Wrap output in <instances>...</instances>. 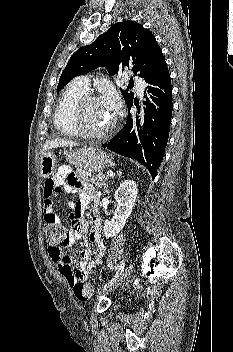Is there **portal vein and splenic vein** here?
<instances>
[{"label":"portal vein and splenic vein","mask_w":233,"mask_h":352,"mask_svg":"<svg viewBox=\"0 0 233 352\" xmlns=\"http://www.w3.org/2000/svg\"><path fill=\"white\" fill-rule=\"evenodd\" d=\"M114 174L112 173V172H108L107 174H106V176H108V177H112Z\"/></svg>","instance_id":"1"}]
</instances>
